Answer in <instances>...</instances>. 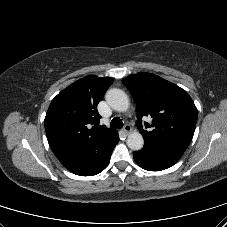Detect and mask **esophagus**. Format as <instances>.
<instances>
[{
    "label": "esophagus",
    "instance_id": "1",
    "mask_svg": "<svg viewBox=\"0 0 227 227\" xmlns=\"http://www.w3.org/2000/svg\"><path fill=\"white\" fill-rule=\"evenodd\" d=\"M125 134H129L132 132V127L129 124H126L123 128Z\"/></svg>",
    "mask_w": 227,
    "mask_h": 227
}]
</instances>
